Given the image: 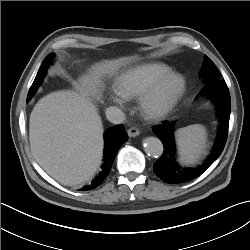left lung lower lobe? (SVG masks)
<instances>
[{"mask_svg":"<svg viewBox=\"0 0 250 250\" xmlns=\"http://www.w3.org/2000/svg\"><path fill=\"white\" fill-rule=\"evenodd\" d=\"M200 94L209 96L216 104L219 131L210 156L205 162L196 168H182L176 162V148L173 136L174 122H164L153 128V132L159 137L164 146L162 156L153 166L155 174L164 182L177 184L190 181L201 175L222 153L228 134L230 118V94L225 81L216 80L205 84Z\"/></svg>","mask_w":250,"mask_h":250,"instance_id":"1","label":"left lung lower lobe"}]
</instances>
